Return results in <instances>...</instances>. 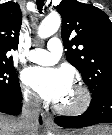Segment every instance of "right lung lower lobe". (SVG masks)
I'll list each match as a JSON object with an SVG mask.
<instances>
[{
    "label": "right lung lower lobe",
    "mask_w": 112,
    "mask_h": 135,
    "mask_svg": "<svg viewBox=\"0 0 112 135\" xmlns=\"http://www.w3.org/2000/svg\"><path fill=\"white\" fill-rule=\"evenodd\" d=\"M21 101V93L17 96L0 97V112L11 115H18L21 111Z\"/></svg>",
    "instance_id": "98d812e1"
}]
</instances>
